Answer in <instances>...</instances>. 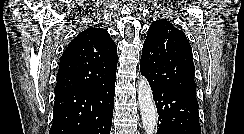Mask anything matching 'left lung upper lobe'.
Returning <instances> with one entry per match:
<instances>
[{"instance_id":"1","label":"left lung upper lobe","mask_w":244,"mask_h":134,"mask_svg":"<svg viewBox=\"0 0 244 134\" xmlns=\"http://www.w3.org/2000/svg\"><path fill=\"white\" fill-rule=\"evenodd\" d=\"M140 69L151 86L196 93L192 48L181 30L156 20L143 44Z\"/></svg>"}]
</instances>
